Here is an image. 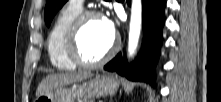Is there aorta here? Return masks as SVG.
<instances>
[{"label": "aorta", "instance_id": "1", "mask_svg": "<svg viewBox=\"0 0 221 102\" xmlns=\"http://www.w3.org/2000/svg\"><path fill=\"white\" fill-rule=\"evenodd\" d=\"M142 20V1L132 0L131 19L129 26L128 54L133 56L139 42Z\"/></svg>", "mask_w": 221, "mask_h": 102}]
</instances>
